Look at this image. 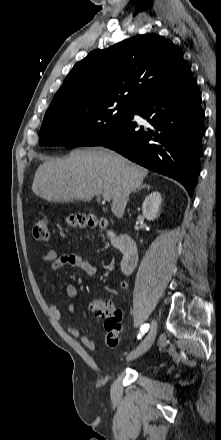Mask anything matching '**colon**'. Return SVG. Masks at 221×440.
<instances>
[{
	"label": "colon",
	"mask_w": 221,
	"mask_h": 440,
	"mask_svg": "<svg viewBox=\"0 0 221 440\" xmlns=\"http://www.w3.org/2000/svg\"><path fill=\"white\" fill-rule=\"evenodd\" d=\"M67 223L77 228L106 227L108 220L104 217H97L93 214L75 213L67 217ZM49 221L41 218L36 221L33 228V236L37 241L49 239ZM88 310L92 313L102 315L105 318L106 343L111 348H116L119 343L121 332L122 312L111 302L105 300H94L88 304Z\"/></svg>",
	"instance_id": "5ec220e1"
}]
</instances>
